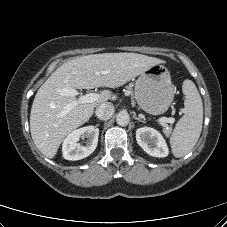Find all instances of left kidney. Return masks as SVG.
Masks as SVG:
<instances>
[{"instance_id":"obj_1","label":"left kidney","mask_w":227,"mask_h":227,"mask_svg":"<svg viewBox=\"0 0 227 227\" xmlns=\"http://www.w3.org/2000/svg\"><path fill=\"white\" fill-rule=\"evenodd\" d=\"M136 140L139 146L150 156L162 158L169 154L164 137L154 128L142 127L137 129Z\"/></svg>"}]
</instances>
